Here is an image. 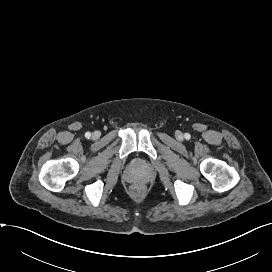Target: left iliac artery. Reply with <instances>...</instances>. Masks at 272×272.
<instances>
[{"instance_id":"44dca946","label":"left iliac artery","mask_w":272,"mask_h":272,"mask_svg":"<svg viewBox=\"0 0 272 272\" xmlns=\"http://www.w3.org/2000/svg\"><path fill=\"white\" fill-rule=\"evenodd\" d=\"M185 138H186V139H189V138H190V134L186 133V134H185Z\"/></svg>"}]
</instances>
